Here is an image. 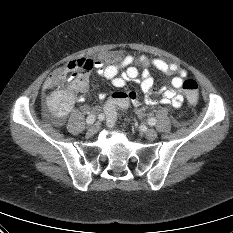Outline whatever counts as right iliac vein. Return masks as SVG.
Wrapping results in <instances>:
<instances>
[{
    "instance_id": "right-iliac-vein-1",
    "label": "right iliac vein",
    "mask_w": 233,
    "mask_h": 233,
    "mask_svg": "<svg viewBox=\"0 0 233 233\" xmlns=\"http://www.w3.org/2000/svg\"><path fill=\"white\" fill-rule=\"evenodd\" d=\"M98 128H99L98 124H95V125L91 126V127L88 129L87 134H88L89 136L94 135V134L98 131Z\"/></svg>"
}]
</instances>
